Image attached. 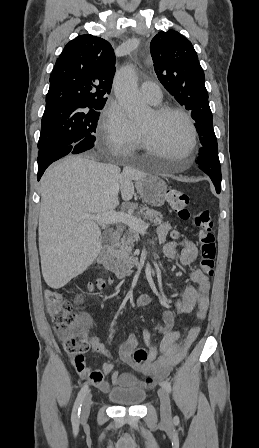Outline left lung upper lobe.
Returning <instances> with one entry per match:
<instances>
[{"instance_id":"left-lung-upper-lobe-1","label":"left lung upper lobe","mask_w":259,"mask_h":448,"mask_svg":"<svg viewBox=\"0 0 259 448\" xmlns=\"http://www.w3.org/2000/svg\"><path fill=\"white\" fill-rule=\"evenodd\" d=\"M150 51L159 81L191 112L201 146L217 142L204 72L191 42L177 31H161Z\"/></svg>"}]
</instances>
